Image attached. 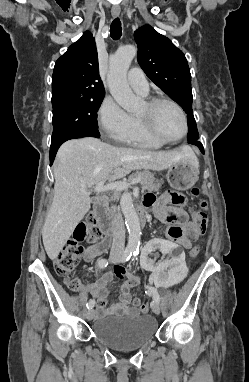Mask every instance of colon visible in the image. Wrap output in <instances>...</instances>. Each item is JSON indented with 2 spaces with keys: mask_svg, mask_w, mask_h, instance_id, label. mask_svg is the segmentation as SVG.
<instances>
[{
  "mask_svg": "<svg viewBox=\"0 0 249 382\" xmlns=\"http://www.w3.org/2000/svg\"><path fill=\"white\" fill-rule=\"evenodd\" d=\"M191 192L194 196L199 195V189L197 188H193ZM193 216L198 230L204 234L207 230L209 221L206 201H200L199 209L194 212ZM81 241H86L90 244H98L102 241V231L94 214H88L84 221L77 226L74 239L68 241L63 246L54 260L55 272L58 275L65 276L67 286L75 292L81 289V282L75 277H70V274L75 270L82 257L83 248L79 245V242ZM200 250L201 247L196 245L190 250L189 255L191 257H196L200 253ZM134 304L140 308L142 312L147 310V305L143 303L141 296L135 297Z\"/></svg>",
  "mask_w": 249,
  "mask_h": 382,
  "instance_id": "1",
  "label": "colon"
}]
</instances>
